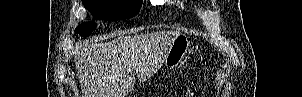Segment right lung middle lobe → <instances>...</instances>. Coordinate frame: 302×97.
I'll use <instances>...</instances> for the list:
<instances>
[{
  "instance_id": "obj_1",
  "label": "right lung middle lobe",
  "mask_w": 302,
  "mask_h": 97,
  "mask_svg": "<svg viewBox=\"0 0 302 97\" xmlns=\"http://www.w3.org/2000/svg\"><path fill=\"white\" fill-rule=\"evenodd\" d=\"M82 3L95 18L120 20L138 14L142 0H82ZM95 28V23L86 22L79 25L75 32L83 37L89 35Z\"/></svg>"
}]
</instances>
